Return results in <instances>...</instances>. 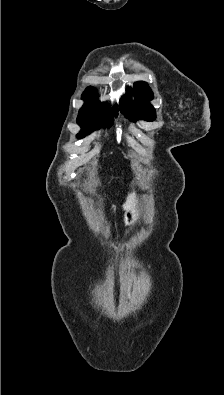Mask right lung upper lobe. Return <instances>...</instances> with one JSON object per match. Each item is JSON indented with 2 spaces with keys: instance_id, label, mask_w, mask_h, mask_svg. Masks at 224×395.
<instances>
[{
  "instance_id": "right-lung-upper-lobe-1",
  "label": "right lung upper lobe",
  "mask_w": 224,
  "mask_h": 395,
  "mask_svg": "<svg viewBox=\"0 0 224 395\" xmlns=\"http://www.w3.org/2000/svg\"><path fill=\"white\" fill-rule=\"evenodd\" d=\"M82 98L86 101L85 105L92 108L107 110V106L97 100L96 90L92 87H88L82 95Z\"/></svg>"
}]
</instances>
